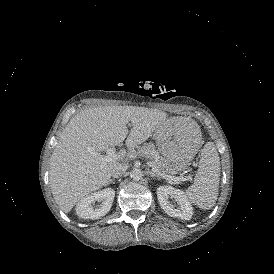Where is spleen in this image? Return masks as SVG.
<instances>
[{"label":"spleen","instance_id":"spleen-1","mask_svg":"<svg viewBox=\"0 0 274 274\" xmlns=\"http://www.w3.org/2000/svg\"><path fill=\"white\" fill-rule=\"evenodd\" d=\"M201 140V133L198 135ZM220 158L213 142H208L201 153L199 169L194 183L186 190V197L199 208H211L218 196Z\"/></svg>","mask_w":274,"mask_h":274}]
</instances>
